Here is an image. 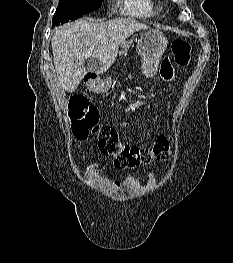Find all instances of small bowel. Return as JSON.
<instances>
[{
  "label": "small bowel",
  "instance_id": "obj_1",
  "mask_svg": "<svg viewBox=\"0 0 233 263\" xmlns=\"http://www.w3.org/2000/svg\"><path fill=\"white\" fill-rule=\"evenodd\" d=\"M160 75L165 81L174 80V70L169 60L165 59L162 61L160 66ZM114 188L119 189L120 186L118 183H114Z\"/></svg>",
  "mask_w": 233,
  "mask_h": 263
}]
</instances>
